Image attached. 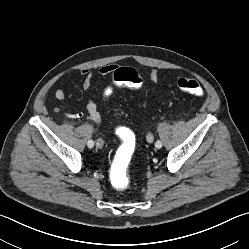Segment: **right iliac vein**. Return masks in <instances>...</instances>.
<instances>
[{"instance_id":"1","label":"right iliac vein","mask_w":249,"mask_h":249,"mask_svg":"<svg viewBox=\"0 0 249 249\" xmlns=\"http://www.w3.org/2000/svg\"><path fill=\"white\" fill-rule=\"evenodd\" d=\"M104 146V141L102 139H98L96 141V147L97 148H102Z\"/></svg>"}]
</instances>
